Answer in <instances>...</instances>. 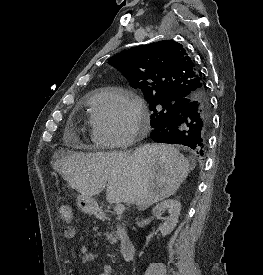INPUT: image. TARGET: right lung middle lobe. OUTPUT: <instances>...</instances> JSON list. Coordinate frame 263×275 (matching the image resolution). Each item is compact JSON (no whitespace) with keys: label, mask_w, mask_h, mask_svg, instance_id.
<instances>
[{"label":"right lung middle lobe","mask_w":263,"mask_h":275,"mask_svg":"<svg viewBox=\"0 0 263 275\" xmlns=\"http://www.w3.org/2000/svg\"><path fill=\"white\" fill-rule=\"evenodd\" d=\"M149 102L151 115V126L154 128L165 119L178 113L189 101L172 97H145Z\"/></svg>","instance_id":"dd1d6c3e"}]
</instances>
